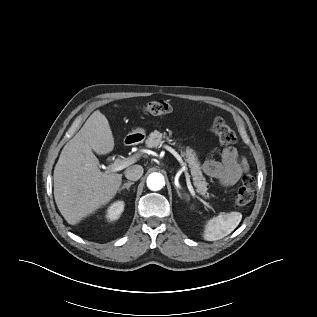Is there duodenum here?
I'll use <instances>...</instances> for the list:
<instances>
[{
	"instance_id": "410a0bca",
	"label": "duodenum",
	"mask_w": 317,
	"mask_h": 317,
	"mask_svg": "<svg viewBox=\"0 0 317 317\" xmlns=\"http://www.w3.org/2000/svg\"><path fill=\"white\" fill-rule=\"evenodd\" d=\"M136 141V136H129L126 138L125 143L126 144H132Z\"/></svg>"
}]
</instances>
